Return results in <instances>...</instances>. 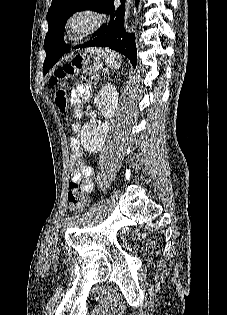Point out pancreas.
<instances>
[{
  "mask_svg": "<svg viewBox=\"0 0 227 315\" xmlns=\"http://www.w3.org/2000/svg\"><path fill=\"white\" fill-rule=\"evenodd\" d=\"M87 71H88V73L89 74H91V75H95V74H97L98 73V69H97V66L96 65H94V66H92V67H90V68H88L87 69Z\"/></svg>",
  "mask_w": 227,
  "mask_h": 315,
  "instance_id": "cf45deb5",
  "label": "pancreas"
}]
</instances>
